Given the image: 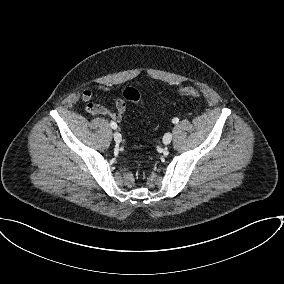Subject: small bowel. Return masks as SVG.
I'll return each mask as SVG.
<instances>
[{
  "label": "small bowel",
  "mask_w": 284,
  "mask_h": 284,
  "mask_svg": "<svg viewBox=\"0 0 284 284\" xmlns=\"http://www.w3.org/2000/svg\"><path fill=\"white\" fill-rule=\"evenodd\" d=\"M99 89L103 91H110V88L108 86H99ZM94 96L95 95L91 90H85L82 92L81 98L86 103L85 111L88 114L107 115L117 123H119L122 120L123 115L126 111V103L122 98L118 97L114 99L116 111H111L100 104L94 103L93 102Z\"/></svg>",
  "instance_id": "1"
}]
</instances>
